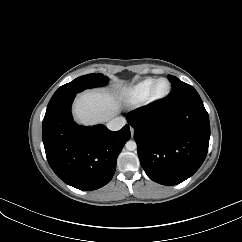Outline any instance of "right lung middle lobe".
<instances>
[{
  "mask_svg": "<svg viewBox=\"0 0 242 242\" xmlns=\"http://www.w3.org/2000/svg\"><path fill=\"white\" fill-rule=\"evenodd\" d=\"M107 81L108 78H106L103 74H88L78 77L72 82L58 88L50 101L65 95L79 93L87 88L104 86Z\"/></svg>",
  "mask_w": 242,
  "mask_h": 242,
  "instance_id": "dd1d6c3e",
  "label": "right lung middle lobe"
}]
</instances>
